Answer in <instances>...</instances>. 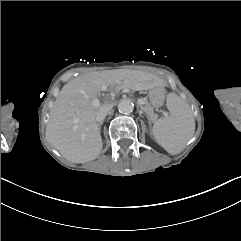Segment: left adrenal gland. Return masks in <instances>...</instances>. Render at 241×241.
<instances>
[{
  "label": "left adrenal gland",
  "instance_id": "obj_1",
  "mask_svg": "<svg viewBox=\"0 0 241 241\" xmlns=\"http://www.w3.org/2000/svg\"><path fill=\"white\" fill-rule=\"evenodd\" d=\"M148 121H149V127H150V131H151V134H152V128H151V118L148 116Z\"/></svg>",
  "mask_w": 241,
  "mask_h": 241
}]
</instances>
